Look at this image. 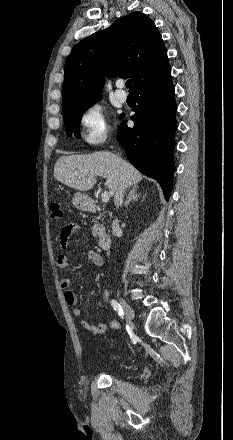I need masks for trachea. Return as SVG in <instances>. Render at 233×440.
Masks as SVG:
<instances>
[{"mask_svg": "<svg viewBox=\"0 0 233 440\" xmlns=\"http://www.w3.org/2000/svg\"><path fill=\"white\" fill-rule=\"evenodd\" d=\"M126 87L129 88V91H133V89H132V81L131 80H128L126 82Z\"/></svg>", "mask_w": 233, "mask_h": 440, "instance_id": "3493384b", "label": "trachea"}]
</instances>
